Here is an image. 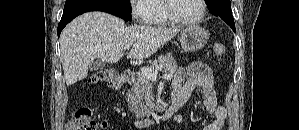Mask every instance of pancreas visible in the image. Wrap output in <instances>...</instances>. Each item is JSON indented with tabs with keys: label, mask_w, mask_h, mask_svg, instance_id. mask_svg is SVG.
<instances>
[{
	"label": "pancreas",
	"mask_w": 299,
	"mask_h": 130,
	"mask_svg": "<svg viewBox=\"0 0 299 130\" xmlns=\"http://www.w3.org/2000/svg\"><path fill=\"white\" fill-rule=\"evenodd\" d=\"M159 66L161 70L175 72L177 64L172 53L161 55L148 68L158 70ZM126 100L130 111L135 113L136 117H143L151 113V107H153L152 85L142 72L137 75L132 88L126 94Z\"/></svg>",
	"instance_id": "pancreas-1"
}]
</instances>
